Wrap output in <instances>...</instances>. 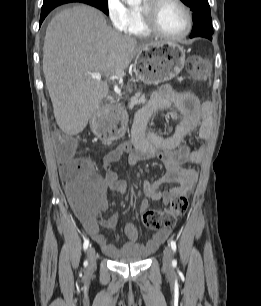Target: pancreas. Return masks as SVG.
Instances as JSON below:
<instances>
[{
	"label": "pancreas",
	"mask_w": 261,
	"mask_h": 306,
	"mask_svg": "<svg viewBox=\"0 0 261 306\" xmlns=\"http://www.w3.org/2000/svg\"><path fill=\"white\" fill-rule=\"evenodd\" d=\"M146 102L145 95L141 92H137L133 97H131L128 107L131 109L135 105L144 104Z\"/></svg>",
	"instance_id": "obj_1"
}]
</instances>
